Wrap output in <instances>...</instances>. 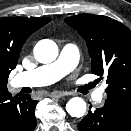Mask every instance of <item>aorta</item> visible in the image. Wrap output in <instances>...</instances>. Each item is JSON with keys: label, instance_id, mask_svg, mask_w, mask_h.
Segmentation results:
<instances>
[{"label": "aorta", "instance_id": "762f6f07", "mask_svg": "<svg viewBox=\"0 0 131 131\" xmlns=\"http://www.w3.org/2000/svg\"><path fill=\"white\" fill-rule=\"evenodd\" d=\"M34 56L40 63H50L58 56V46L52 40H41L34 48ZM86 108V102L80 97L71 98L66 104V111L72 117H82Z\"/></svg>", "mask_w": 131, "mask_h": 131}]
</instances>
